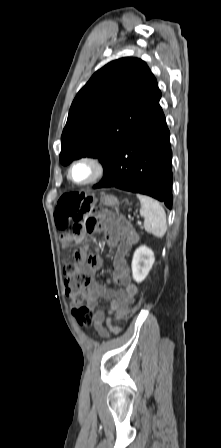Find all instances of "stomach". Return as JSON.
I'll return each instance as SVG.
<instances>
[{"mask_svg": "<svg viewBox=\"0 0 221 448\" xmlns=\"http://www.w3.org/2000/svg\"><path fill=\"white\" fill-rule=\"evenodd\" d=\"M102 202L106 206H114L117 204V199L112 195H106L102 198Z\"/></svg>", "mask_w": 221, "mask_h": 448, "instance_id": "0dacf381", "label": "stomach"}]
</instances>
